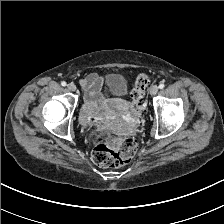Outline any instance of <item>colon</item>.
Wrapping results in <instances>:
<instances>
[{"instance_id": "5ec220e1", "label": "colon", "mask_w": 224, "mask_h": 224, "mask_svg": "<svg viewBox=\"0 0 224 224\" xmlns=\"http://www.w3.org/2000/svg\"><path fill=\"white\" fill-rule=\"evenodd\" d=\"M149 84V77L141 73L135 80L131 91V110L138 118L145 106V92ZM138 144L133 138L122 137L113 133H99L95 136L92 148V159L95 164L105 168L124 166L137 152Z\"/></svg>"}]
</instances>
